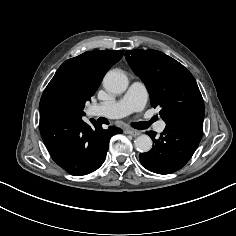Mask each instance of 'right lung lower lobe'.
<instances>
[{
  "label": "right lung lower lobe",
  "mask_w": 236,
  "mask_h": 236,
  "mask_svg": "<svg viewBox=\"0 0 236 236\" xmlns=\"http://www.w3.org/2000/svg\"><path fill=\"white\" fill-rule=\"evenodd\" d=\"M91 127L81 118L65 114L56 108L40 111V132L54 162L72 175H86L104 162L112 136L122 130L110 126L107 130L95 120Z\"/></svg>",
  "instance_id": "right-lung-lower-lobe-1"
}]
</instances>
